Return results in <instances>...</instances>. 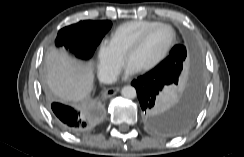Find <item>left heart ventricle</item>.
<instances>
[{
    "label": "left heart ventricle",
    "instance_id": "left-heart-ventricle-1",
    "mask_svg": "<svg viewBox=\"0 0 244 157\" xmlns=\"http://www.w3.org/2000/svg\"><path fill=\"white\" fill-rule=\"evenodd\" d=\"M171 38L172 31L169 28H156L147 36L141 47L129 57L128 62L138 70L147 66L163 52Z\"/></svg>",
    "mask_w": 244,
    "mask_h": 157
}]
</instances>
